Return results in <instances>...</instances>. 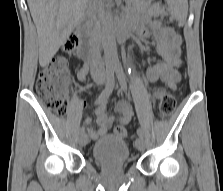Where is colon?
Wrapping results in <instances>:
<instances>
[{"label":"colon","instance_id":"colon-1","mask_svg":"<svg viewBox=\"0 0 223 191\" xmlns=\"http://www.w3.org/2000/svg\"><path fill=\"white\" fill-rule=\"evenodd\" d=\"M165 21L171 23V19L166 17ZM79 43L76 35L69 36L63 46L66 52H73ZM69 79L68 62L64 57H55L43 68L37 78L36 92L43 103L59 115L67 111V84ZM176 109V99L173 95L163 96L158 106V116L162 119L170 116ZM115 134L124 138L127 136V130L124 126H117Z\"/></svg>","mask_w":223,"mask_h":191}]
</instances>
